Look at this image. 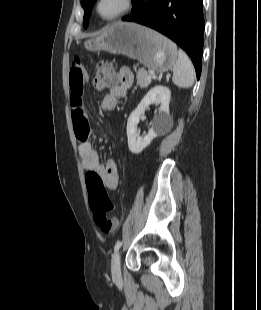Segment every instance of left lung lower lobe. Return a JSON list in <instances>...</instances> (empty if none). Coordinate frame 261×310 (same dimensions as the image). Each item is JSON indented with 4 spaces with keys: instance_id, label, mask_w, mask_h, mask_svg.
Masks as SVG:
<instances>
[{
    "instance_id": "left-lung-lower-lobe-1",
    "label": "left lung lower lobe",
    "mask_w": 261,
    "mask_h": 310,
    "mask_svg": "<svg viewBox=\"0 0 261 310\" xmlns=\"http://www.w3.org/2000/svg\"><path fill=\"white\" fill-rule=\"evenodd\" d=\"M203 0H137L123 21L153 28L176 42L190 56L197 78L203 52Z\"/></svg>"
}]
</instances>
